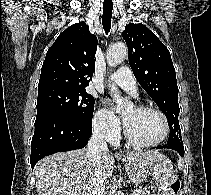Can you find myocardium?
I'll return each instance as SVG.
<instances>
[{
	"instance_id": "obj_1",
	"label": "myocardium",
	"mask_w": 211,
	"mask_h": 195,
	"mask_svg": "<svg viewBox=\"0 0 211 195\" xmlns=\"http://www.w3.org/2000/svg\"><path fill=\"white\" fill-rule=\"evenodd\" d=\"M135 107L138 110H141V111H153V112L157 113L158 115H160V117L162 118L163 123H164V134L157 141H154V142H142V141L138 140L137 138H135L131 134V132H130L125 120H124L123 128H124V135H125L126 139L131 144H133L135 146H138V147H153V146H157V145L161 144L163 141H165V139L168 137L169 132H170L169 121H168V118L165 115V113L162 110H160L159 108L154 107V106H150V105H137Z\"/></svg>"
}]
</instances>
